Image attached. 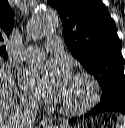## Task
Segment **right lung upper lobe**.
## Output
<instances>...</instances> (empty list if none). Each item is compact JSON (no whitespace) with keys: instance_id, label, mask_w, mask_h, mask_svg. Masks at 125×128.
Returning a JSON list of instances; mask_svg holds the SVG:
<instances>
[{"instance_id":"obj_1","label":"right lung upper lobe","mask_w":125,"mask_h":128,"mask_svg":"<svg viewBox=\"0 0 125 128\" xmlns=\"http://www.w3.org/2000/svg\"><path fill=\"white\" fill-rule=\"evenodd\" d=\"M14 27V16L8 0H0V58H8L3 41Z\"/></svg>"}]
</instances>
